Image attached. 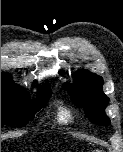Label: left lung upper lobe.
Returning <instances> with one entry per match:
<instances>
[{
	"instance_id": "1",
	"label": "left lung upper lobe",
	"mask_w": 123,
	"mask_h": 152,
	"mask_svg": "<svg viewBox=\"0 0 123 152\" xmlns=\"http://www.w3.org/2000/svg\"><path fill=\"white\" fill-rule=\"evenodd\" d=\"M102 78L98 75L80 72L74 85L70 87V95L74 104L84 108L86 116L99 125H108L110 120L104 113L109 98L102 91Z\"/></svg>"
}]
</instances>
